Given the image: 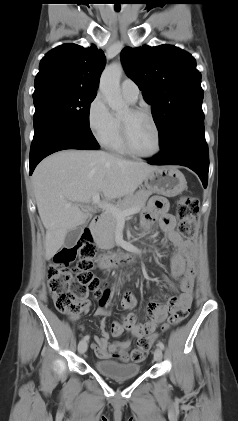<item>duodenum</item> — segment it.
I'll return each instance as SVG.
<instances>
[{
  "label": "duodenum",
  "mask_w": 238,
  "mask_h": 421,
  "mask_svg": "<svg viewBox=\"0 0 238 421\" xmlns=\"http://www.w3.org/2000/svg\"><path fill=\"white\" fill-rule=\"evenodd\" d=\"M99 221V217H94L89 223V230L95 229ZM134 257V254L126 253L103 255L100 257L98 264L101 269H109L119 265L129 264L133 261Z\"/></svg>",
  "instance_id": "1"
}]
</instances>
